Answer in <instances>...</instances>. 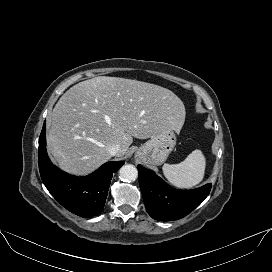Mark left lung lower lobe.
Segmentation results:
<instances>
[{"label": "left lung lower lobe", "instance_id": "0a47b994", "mask_svg": "<svg viewBox=\"0 0 272 272\" xmlns=\"http://www.w3.org/2000/svg\"><path fill=\"white\" fill-rule=\"evenodd\" d=\"M139 185L149 215L159 221L185 217L207 197L211 184L194 190H177L167 185L153 171L137 166Z\"/></svg>", "mask_w": 272, "mask_h": 272}]
</instances>
